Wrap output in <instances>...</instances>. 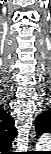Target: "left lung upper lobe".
<instances>
[{
    "label": "left lung upper lobe",
    "mask_w": 51,
    "mask_h": 154,
    "mask_svg": "<svg viewBox=\"0 0 51 154\" xmlns=\"http://www.w3.org/2000/svg\"><path fill=\"white\" fill-rule=\"evenodd\" d=\"M45 120H46L45 115H40L36 119V132H37L38 135L45 132L44 129L47 128L45 125H43Z\"/></svg>",
    "instance_id": "left-lung-upper-lobe-1"
}]
</instances>
